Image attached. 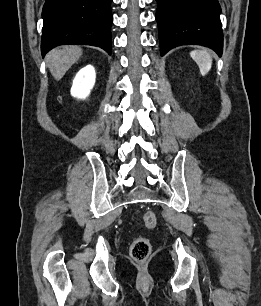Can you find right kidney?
<instances>
[{"instance_id":"ca27d5eb","label":"right kidney","mask_w":261,"mask_h":306,"mask_svg":"<svg viewBox=\"0 0 261 306\" xmlns=\"http://www.w3.org/2000/svg\"><path fill=\"white\" fill-rule=\"evenodd\" d=\"M95 69L91 65L82 68L75 76L71 87V95L79 99H85L95 84Z\"/></svg>"}]
</instances>
